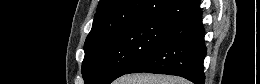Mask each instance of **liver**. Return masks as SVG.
Here are the masks:
<instances>
[{
  "label": "liver",
  "mask_w": 260,
  "mask_h": 84,
  "mask_svg": "<svg viewBox=\"0 0 260 84\" xmlns=\"http://www.w3.org/2000/svg\"><path fill=\"white\" fill-rule=\"evenodd\" d=\"M119 84H187V81L168 75L141 73L125 75L119 80Z\"/></svg>",
  "instance_id": "6515ba94"
}]
</instances>
